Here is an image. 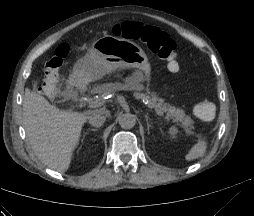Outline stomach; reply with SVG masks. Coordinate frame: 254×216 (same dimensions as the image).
<instances>
[{"label": "stomach", "instance_id": "1", "mask_svg": "<svg viewBox=\"0 0 254 216\" xmlns=\"http://www.w3.org/2000/svg\"><path fill=\"white\" fill-rule=\"evenodd\" d=\"M107 65L114 68L105 70ZM131 68L134 70L126 82L140 83L149 80L151 65L144 50L136 43L105 36L95 41L85 56L74 67L72 81L86 82L106 73Z\"/></svg>", "mask_w": 254, "mask_h": 216}]
</instances>
